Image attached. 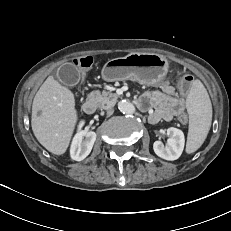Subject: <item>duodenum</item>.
Segmentation results:
<instances>
[{"label":"duodenum","mask_w":231,"mask_h":231,"mask_svg":"<svg viewBox=\"0 0 231 231\" xmlns=\"http://www.w3.org/2000/svg\"><path fill=\"white\" fill-rule=\"evenodd\" d=\"M137 106L143 110L144 108V105L143 103L140 101V100H137L136 102ZM83 111L86 113V114H93L96 109H97V104H96V101L93 99V98H87L84 103H83Z\"/></svg>","instance_id":"410a0bca"}]
</instances>
